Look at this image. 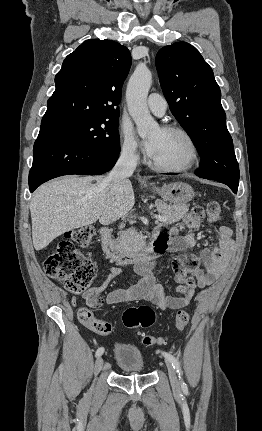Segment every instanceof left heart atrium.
Returning a JSON list of instances; mask_svg holds the SVG:
<instances>
[{
	"instance_id": "39dd6f15",
	"label": "left heart atrium",
	"mask_w": 262,
	"mask_h": 431,
	"mask_svg": "<svg viewBox=\"0 0 262 431\" xmlns=\"http://www.w3.org/2000/svg\"><path fill=\"white\" fill-rule=\"evenodd\" d=\"M144 145H145V149H146V152L148 153V155L152 156L155 152V149H156L157 138L154 137V138H150V139L146 140Z\"/></svg>"
}]
</instances>
